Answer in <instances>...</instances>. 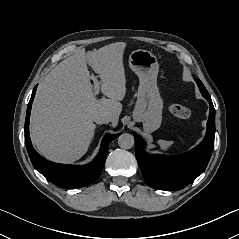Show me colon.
Wrapping results in <instances>:
<instances>
[{"instance_id":"1","label":"colon","mask_w":239,"mask_h":239,"mask_svg":"<svg viewBox=\"0 0 239 239\" xmlns=\"http://www.w3.org/2000/svg\"><path fill=\"white\" fill-rule=\"evenodd\" d=\"M169 111L177 118L179 119H189L190 118V111L188 108L179 105V104H172L169 106Z\"/></svg>"}]
</instances>
